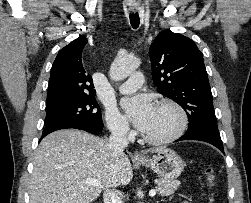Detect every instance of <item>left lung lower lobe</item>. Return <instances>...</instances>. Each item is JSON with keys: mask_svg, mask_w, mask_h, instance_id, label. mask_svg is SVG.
Returning a JSON list of instances; mask_svg holds the SVG:
<instances>
[{"mask_svg": "<svg viewBox=\"0 0 251 203\" xmlns=\"http://www.w3.org/2000/svg\"><path fill=\"white\" fill-rule=\"evenodd\" d=\"M182 140H198V141L208 142L224 153L223 143L219 132L205 129L197 130L194 132H186L176 141H182Z\"/></svg>", "mask_w": 251, "mask_h": 203, "instance_id": "0a47b994", "label": "left lung lower lobe"}]
</instances>
